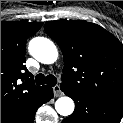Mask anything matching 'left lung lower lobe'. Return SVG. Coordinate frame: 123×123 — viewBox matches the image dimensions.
<instances>
[{"mask_svg": "<svg viewBox=\"0 0 123 123\" xmlns=\"http://www.w3.org/2000/svg\"><path fill=\"white\" fill-rule=\"evenodd\" d=\"M61 90L75 102V111L62 123H119L123 107L112 102L94 99L61 85Z\"/></svg>", "mask_w": 123, "mask_h": 123, "instance_id": "obj_1", "label": "left lung lower lobe"}]
</instances>
